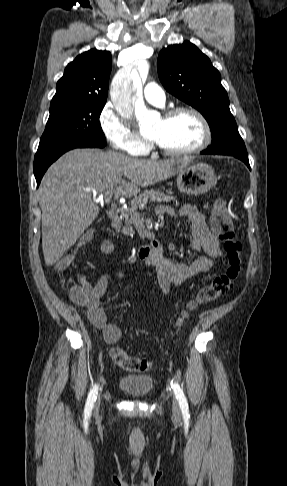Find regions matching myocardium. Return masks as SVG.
<instances>
[{"label":"myocardium","mask_w":287,"mask_h":486,"mask_svg":"<svg viewBox=\"0 0 287 486\" xmlns=\"http://www.w3.org/2000/svg\"><path fill=\"white\" fill-rule=\"evenodd\" d=\"M188 113L193 115L201 125L202 128V138L201 141L194 147L184 150H170L163 146H161L156 141L152 140V145L162 154L169 156V157H184L199 153L205 150L212 140V133L210 125L206 119V117L196 108L192 106H178L168 110L164 115V120H169L174 118L177 115Z\"/></svg>","instance_id":"myocardium-1"}]
</instances>
